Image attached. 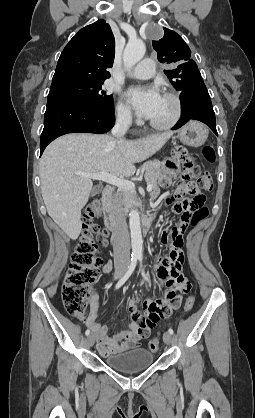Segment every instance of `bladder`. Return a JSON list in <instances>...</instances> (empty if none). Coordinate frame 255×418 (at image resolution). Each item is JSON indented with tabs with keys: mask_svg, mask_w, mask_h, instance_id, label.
Here are the masks:
<instances>
[{
	"mask_svg": "<svg viewBox=\"0 0 255 418\" xmlns=\"http://www.w3.org/2000/svg\"><path fill=\"white\" fill-rule=\"evenodd\" d=\"M153 352L145 348H137L128 352L110 355L105 363L114 370L132 373L144 370L152 365Z\"/></svg>",
	"mask_w": 255,
	"mask_h": 418,
	"instance_id": "31cf9c89",
	"label": "bladder"
}]
</instances>
